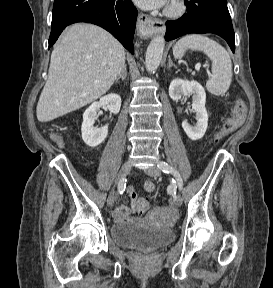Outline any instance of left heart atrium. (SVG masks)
I'll use <instances>...</instances> for the list:
<instances>
[{"label": "left heart atrium", "mask_w": 273, "mask_h": 288, "mask_svg": "<svg viewBox=\"0 0 273 288\" xmlns=\"http://www.w3.org/2000/svg\"><path fill=\"white\" fill-rule=\"evenodd\" d=\"M143 9H154L163 6L167 0H133Z\"/></svg>", "instance_id": "obj_1"}]
</instances>
